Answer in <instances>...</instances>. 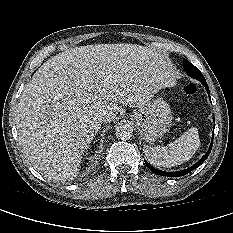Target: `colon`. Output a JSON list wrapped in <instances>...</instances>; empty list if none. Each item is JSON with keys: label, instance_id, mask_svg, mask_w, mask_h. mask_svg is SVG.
Segmentation results:
<instances>
[{"label": "colon", "instance_id": "5ec220e1", "mask_svg": "<svg viewBox=\"0 0 233 233\" xmlns=\"http://www.w3.org/2000/svg\"><path fill=\"white\" fill-rule=\"evenodd\" d=\"M184 93L192 100L196 101L199 99L197 88L193 84H187L183 88Z\"/></svg>", "mask_w": 233, "mask_h": 233}]
</instances>
